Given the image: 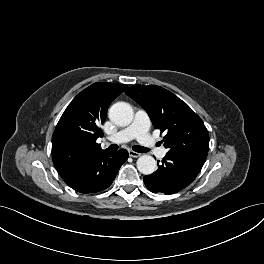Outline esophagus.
<instances>
[{
  "label": "esophagus",
  "instance_id": "1",
  "mask_svg": "<svg viewBox=\"0 0 264 264\" xmlns=\"http://www.w3.org/2000/svg\"><path fill=\"white\" fill-rule=\"evenodd\" d=\"M128 153H129V156L133 157V158H137V157H139L141 155L140 153H137V152L132 151V150H129Z\"/></svg>",
  "mask_w": 264,
  "mask_h": 264
}]
</instances>
